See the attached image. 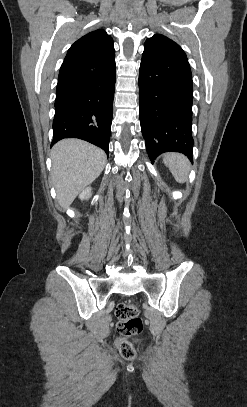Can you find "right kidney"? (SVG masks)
Listing matches in <instances>:
<instances>
[{"label":"right kidney","instance_id":"obj_1","mask_svg":"<svg viewBox=\"0 0 247 407\" xmlns=\"http://www.w3.org/2000/svg\"><path fill=\"white\" fill-rule=\"evenodd\" d=\"M90 197H91V188L90 187L85 188L79 195V198L81 200H85V199H88Z\"/></svg>","mask_w":247,"mask_h":407}]
</instances>
